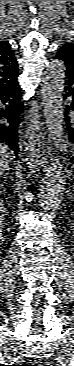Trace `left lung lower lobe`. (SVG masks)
<instances>
[{"instance_id":"left-lung-lower-lobe-1","label":"left lung lower lobe","mask_w":74,"mask_h":366,"mask_svg":"<svg viewBox=\"0 0 74 366\" xmlns=\"http://www.w3.org/2000/svg\"><path fill=\"white\" fill-rule=\"evenodd\" d=\"M65 94L64 99L71 98V104L66 106V111H72V115L65 114L66 128L70 139L74 142V71L66 68L65 70ZM74 160V157L72 158Z\"/></svg>"}]
</instances>
